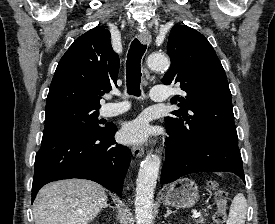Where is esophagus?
Here are the masks:
<instances>
[{
    "mask_svg": "<svg viewBox=\"0 0 275 224\" xmlns=\"http://www.w3.org/2000/svg\"><path fill=\"white\" fill-rule=\"evenodd\" d=\"M138 37L142 44L149 45L152 41L151 34L147 30L140 32ZM144 152H145V149L141 145H136V146H133L132 148V154L137 158L142 157L144 155Z\"/></svg>",
    "mask_w": 275,
    "mask_h": 224,
    "instance_id": "esophagus-1",
    "label": "esophagus"
}]
</instances>
